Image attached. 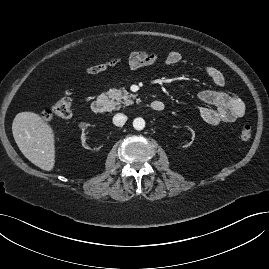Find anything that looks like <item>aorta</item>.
I'll use <instances>...</instances> for the list:
<instances>
[{
  "instance_id": "obj_1",
  "label": "aorta",
  "mask_w": 269,
  "mask_h": 269,
  "mask_svg": "<svg viewBox=\"0 0 269 269\" xmlns=\"http://www.w3.org/2000/svg\"><path fill=\"white\" fill-rule=\"evenodd\" d=\"M133 127L134 129L140 131L142 129H144L145 127V120L143 118H135L133 121Z\"/></svg>"
}]
</instances>
